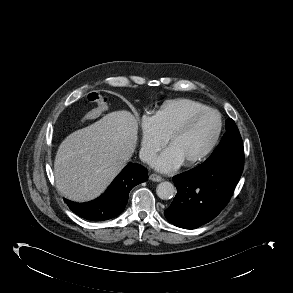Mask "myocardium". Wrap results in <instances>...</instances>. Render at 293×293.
I'll list each match as a JSON object with an SVG mask.
<instances>
[{
	"mask_svg": "<svg viewBox=\"0 0 293 293\" xmlns=\"http://www.w3.org/2000/svg\"><path fill=\"white\" fill-rule=\"evenodd\" d=\"M206 114H214L217 116V119H218L217 131L214 137L212 138V140L210 141V143L208 144V146L199 155L183 163V165L186 167L195 166L199 164L200 162H202L203 160H205L208 157V155L213 151L215 146L217 145L222 133V129H223V121H222L221 114L217 110L211 109V108H207V109L195 112L192 115H190L188 118H186L174 131L171 132V134L167 138V144L170 145V143L175 138L184 134L190 128V126L193 124L195 120H197L198 118Z\"/></svg>",
	"mask_w": 293,
	"mask_h": 293,
	"instance_id": "1",
	"label": "myocardium"
}]
</instances>
